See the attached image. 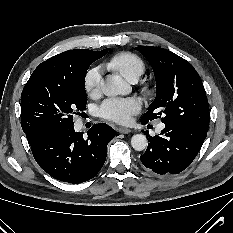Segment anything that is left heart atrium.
I'll use <instances>...</instances> for the list:
<instances>
[{
    "label": "left heart atrium",
    "instance_id": "left-heart-atrium-1",
    "mask_svg": "<svg viewBox=\"0 0 233 233\" xmlns=\"http://www.w3.org/2000/svg\"><path fill=\"white\" fill-rule=\"evenodd\" d=\"M141 102L137 98H109L99 107V113L103 118L126 124L131 121L132 115L141 109Z\"/></svg>",
    "mask_w": 233,
    "mask_h": 233
}]
</instances>
